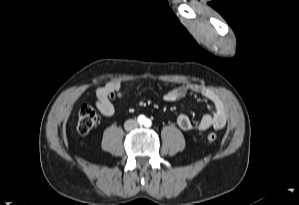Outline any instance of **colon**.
<instances>
[{
    "label": "colon",
    "mask_w": 299,
    "mask_h": 205,
    "mask_svg": "<svg viewBox=\"0 0 299 205\" xmlns=\"http://www.w3.org/2000/svg\"><path fill=\"white\" fill-rule=\"evenodd\" d=\"M117 93L111 94V98H117ZM98 122V115L96 111L89 105H82L78 115L77 131L81 135L89 134ZM210 142H215L217 136L214 132H211L207 136Z\"/></svg>",
    "instance_id": "5ec220e1"
}]
</instances>
